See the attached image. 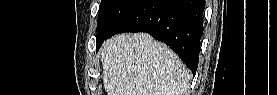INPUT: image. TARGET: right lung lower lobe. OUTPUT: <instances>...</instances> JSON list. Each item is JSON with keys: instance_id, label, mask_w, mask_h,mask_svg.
I'll return each mask as SVG.
<instances>
[{"instance_id": "1", "label": "right lung lower lobe", "mask_w": 277, "mask_h": 95, "mask_svg": "<svg viewBox=\"0 0 277 95\" xmlns=\"http://www.w3.org/2000/svg\"><path fill=\"white\" fill-rule=\"evenodd\" d=\"M204 8V0H144L106 39L122 32H147L166 43L195 74Z\"/></svg>"}]
</instances>
